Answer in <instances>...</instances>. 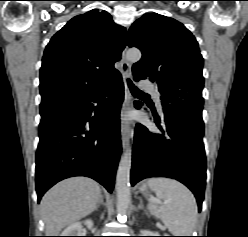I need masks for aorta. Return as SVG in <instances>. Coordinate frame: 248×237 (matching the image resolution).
I'll use <instances>...</instances> for the list:
<instances>
[{
  "instance_id": "762f6f07",
  "label": "aorta",
  "mask_w": 248,
  "mask_h": 237,
  "mask_svg": "<svg viewBox=\"0 0 248 237\" xmlns=\"http://www.w3.org/2000/svg\"><path fill=\"white\" fill-rule=\"evenodd\" d=\"M126 58L128 61L135 63L141 59V52L138 49H130L126 53ZM130 171L131 150H126L120 159L116 175L117 212L119 217L126 216L131 200Z\"/></svg>"
}]
</instances>
